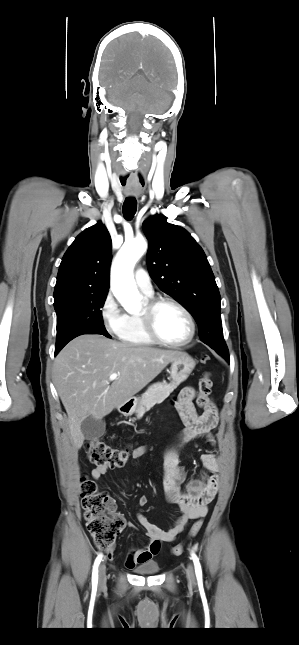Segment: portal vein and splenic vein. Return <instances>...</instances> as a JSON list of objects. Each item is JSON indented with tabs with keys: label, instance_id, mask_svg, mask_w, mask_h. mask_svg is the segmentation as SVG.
I'll list each match as a JSON object with an SVG mask.
<instances>
[{
	"label": "portal vein and splenic vein",
	"instance_id": "obj_1",
	"mask_svg": "<svg viewBox=\"0 0 299 645\" xmlns=\"http://www.w3.org/2000/svg\"><path fill=\"white\" fill-rule=\"evenodd\" d=\"M117 377H118V374H117V373H113V374H111V375L109 376V381H113V380H115Z\"/></svg>",
	"mask_w": 299,
	"mask_h": 645
}]
</instances>
